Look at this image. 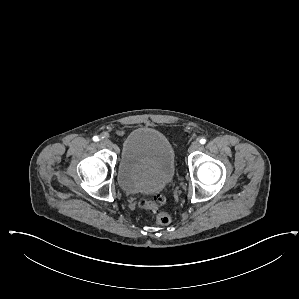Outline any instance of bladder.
<instances>
[{
    "label": "bladder",
    "instance_id": "1",
    "mask_svg": "<svg viewBox=\"0 0 299 299\" xmlns=\"http://www.w3.org/2000/svg\"><path fill=\"white\" fill-rule=\"evenodd\" d=\"M173 146L160 131L138 127L125 138L117 169L120 187L130 193H156L174 178Z\"/></svg>",
    "mask_w": 299,
    "mask_h": 299
}]
</instances>
